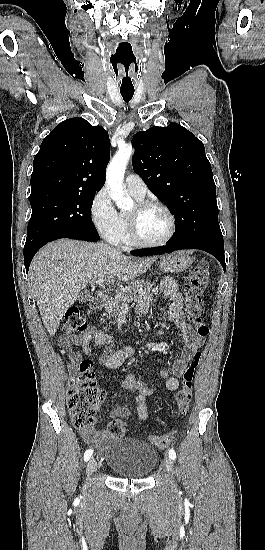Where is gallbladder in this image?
Instances as JSON below:
<instances>
[{"mask_svg":"<svg viewBox=\"0 0 265 550\" xmlns=\"http://www.w3.org/2000/svg\"><path fill=\"white\" fill-rule=\"evenodd\" d=\"M79 301L81 302H89L92 299L91 293L85 292L79 295Z\"/></svg>","mask_w":265,"mask_h":550,"instance_id":"1","label":"gallbladder"}]
</instances>
